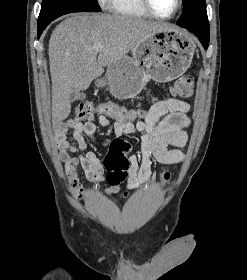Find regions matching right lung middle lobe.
<instances>
[{
  "label": "right lung middle lobe",
  "mask_w": 247,
  "mask_h": 280,
  "mask_svg": "<svg viewBox=\"0 0 247 280\" xmlns=\"http://www.w3.org/2000/svg\"><path fill=\"white\" fill-rule=\"evenodd\" d=\"M96 0H43L38 26H47L59 16L72 12H100Z\"/></svg>",
  "instance_id": "right-lung-middle-lobe-1"
}]
</instances>
